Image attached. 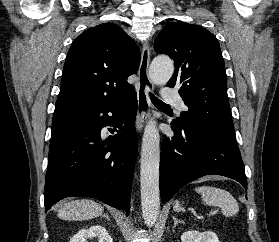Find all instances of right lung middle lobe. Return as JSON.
I'll list each match as a JSON object with an SVG mask.
<instances>
[{
    "label": "right lung middle lobe",
    "mask_w": 279,
    "mask_h": 242,
    "mask_svg": "<svg viewBox=\"0 0 279 242\" xmlns=\"http://www.w3.org/2000/svg\"><path fill=\"white\" fill-rule=\"evenodd\" d=\"M64 118L63 117H58V118H53L52 120V129L58 127L59 125L62 124Z\"/></svg>",
    "instance_id": "obj_1"
}]
</instances>
